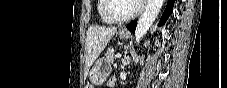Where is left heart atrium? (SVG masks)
I'll return each mask as SVG.
<instances>
[{
	"label": "left heart atrium",
	"mask_w": 227,
	"mask_h": 88,
	"mask_svg": "<svg viewBox=\"0 0 227 88\" xmlns=\"http://www.w3.org/2000/svg\"><path fill=\"white\" fill-rule=\"evenodd\" d=\"M136 3L142 5L145 3V0H136Z\"/></svg>",
	"instance_id": "1"
}]
</instances>
